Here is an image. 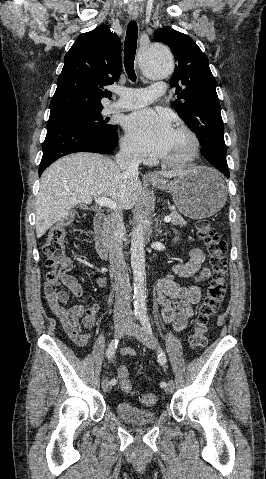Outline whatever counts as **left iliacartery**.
Returning a JSON list of instances; mask_svg holds the SVG:
<instances>
[{"mask_svg":"<svg viewBox=\"0 0 266 479\" xmlns=\"http://www.w3.org/2000/svg\"><path fill=\"white\" fill-rule=\"evenodd\" d=\"M140 321H141V324L143 326V328L150 334V335H153V331H152V327H151V324H150V321H149V318H148V315L146 313H142L140 315ZM158 361L161 365H164L165 362H166V355L165 353L163 352V350H159L158 352ZM160 386L162 388H165L167 386L166 382H161L160 383Z\"/></svg>","mask_w":266,"mask_h":479,"instance_id":"left-iliac-artery-1","label":"left iliac artery"}]
</instances>
